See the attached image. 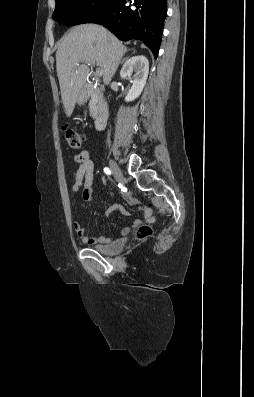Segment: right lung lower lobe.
<instances>
[{"label":"right lung lower lobe","mask_w":254,"mask_h":397,"mask_svg":"<svg viewBox=\"0 0 254 397\" xmlns=\"http://www.w3.org/2000/svg\"><path fill=\"white\" fill-rule=\"evenodd\" d=\"M114 0L90 22L104 25L122 41L141 40L157 58L167 15V0Z\"/></svg>","instance_id":"1"}]
</instances>
